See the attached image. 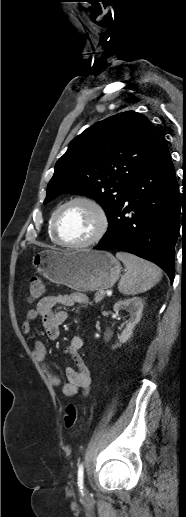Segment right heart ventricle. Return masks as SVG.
<instances>
[{
	"instance_id": "obj_1",
	"label": "right heart ventricle",
	"mask_w": 186,
	"mask_h": 517,
	"mask_svg": "<svg viewBox=\"0 0 186 517\" xmlns=\"http://www.w3.org/2000/svg\"><path fill=\"white\" fill-rule=\"evenodd\" d=\"M54 213H55V212H53V213H52V215H51V217H50V219H49V222H48V234H49L50 239H51L54 243H56V240L54 239V236H53V234H52V229H51L52 217H53Z\"/></svg>"
}]
</instances>
